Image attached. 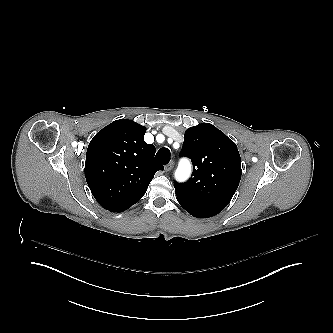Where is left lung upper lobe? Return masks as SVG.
Here are the masks:
<instances>
[{
  "mask_svg": "<svg viewBox=\"0 0 333 333\" xmlns=\"http://www.w3.org/2000/svg\"><path fill=\"white\" fill-rule=\"evenodd\" d=\"M180 155L191 159L194 171L187 182L174 183L178 202L218 214L241 179L236 144L212 124L202 123L186 130Z\"/></svg>",
  "mask_w": 333,
  "mask_h": 333,
  "instance_id": "obj_1",
  "label": "left lung upper lobe"
}]
</instances>
